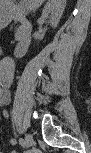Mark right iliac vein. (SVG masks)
Wrapping results in <instances>:
<instances>
[{
    "label": "right iliac vein",
    "instance_id": "right-iliac-vein-1",
    "mask_svg": "<svg viewBox=\"0 0 91 153\" xmlns=\"http://www.w3.org/2000/svg\"><path fill=\"white\" fill-rule=\"evenodd\" d=\"M26 146L30 147L33 144V138L30 134H26Z\"/></svg>",
    "mask_w": 91,
    "mask_h": 153
}]
</instances>
